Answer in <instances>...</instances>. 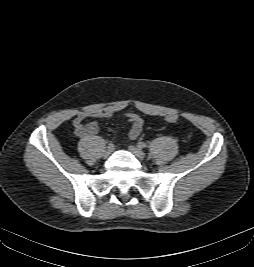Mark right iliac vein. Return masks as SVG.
Segmentation results:
<instances>
[{
  "label": "right iliac vein",
  "instance_id": "63e3f726",
  "mask_svg": "<svg viewBox=\"0 0 254 267\" xmlns=\"http://www.w3.org/2000/svg\"><path fill=\"white\" fill-rule=\"evenodd\" d=\"M112 152H113V148H112V147H107V148L103 151V157H104V158H107Z\"/></svg>",
  "mask_w": 254,
  "mask_h": 267
}]
</instances>
